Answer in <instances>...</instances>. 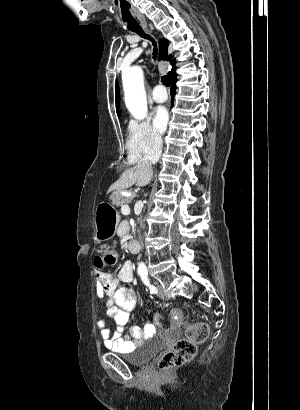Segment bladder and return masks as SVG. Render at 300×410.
<instances>
[{"label": "bladder", "mask_w": 300, "mask_h": 410, "mask_svg": "<svg viewBox=\"0 0 300 410\" xmlns=\"http://www.w3.org/2000/svg\"><path fill=\"white\" fill-rule=\"evenodd\" d=\"M160 345L141 343L129 353L123 354L122 359L133 366H143L148 363L159 351Z\"/></svg>", "instance_id": "1"}]
</instances>
